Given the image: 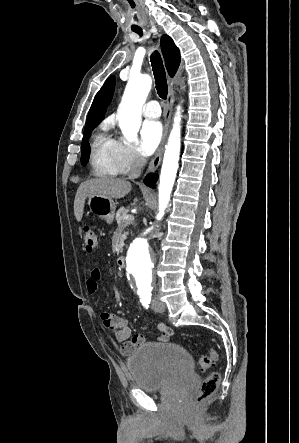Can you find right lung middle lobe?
<instances>
[{
	"mask_svg": "<svg viewBox=\"0 0 299 443\" xmlns=\"http://www.w3.org/2000/svg\"><path fill=\"white\" fill-rule=\"evenodd\" d=\"M97 125H91L88 127H85L84 131V137L82 141V156H81V164L84 166L86 165L89 156H90V150H89V142L87 139L90 136V132L96 127Z\"/></svg>",
	"mask_w": 299,
	"mask_h": 443,
	"instance_id": "right-lung-middle-lobe-1",
	"label": "right lung middle lobe"
}]
</instances>
